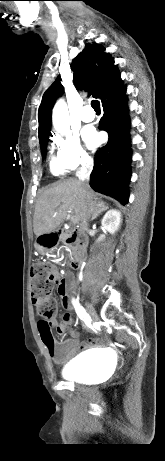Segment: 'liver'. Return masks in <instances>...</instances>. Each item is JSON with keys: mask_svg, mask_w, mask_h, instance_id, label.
<instances>
[{"mask_svg": "<svg viewBox=\"0 0 165 461\" xmlns=\"http://www.w3.org/2000/svg\"><path fill=\"white\" fill-rule=\"evenodd\" d=\"M105 203L85 187L80 180L68 179L46 189L38 199L34 213V233L37 237L55 230L72 213L80 232L88 229V220L101 212Z\"/></svg>", "mask_w": 165, "mask_h": 461, "instance_id": "6515ba94", "label": "liver"}]
</instances>
